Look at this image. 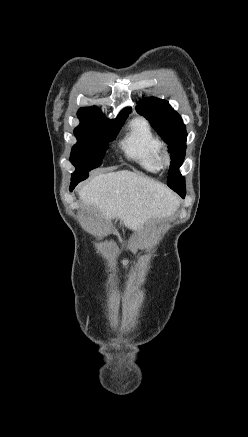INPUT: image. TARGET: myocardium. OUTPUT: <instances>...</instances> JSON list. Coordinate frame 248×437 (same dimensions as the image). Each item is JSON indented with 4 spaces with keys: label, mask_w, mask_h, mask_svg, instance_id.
Returning <instances> with one entry per match:
<instances>
[{
    "label": "myocardium",
    "mask_w": 248,
    "mask_h": 437,
    "mask_svg": "<svg viewBox=\"0 0 248 437\" xmlns=\"http://www.w3.org/2000/svg\"><path fill=\"white\" fill-rule=\"evenodd\" d=\"M161 164L165 167H168L171 162L170 153L166 149H162L160 152Z\"/></svg>",
    "instance_id": "f54148a6"
}]
</instances>
